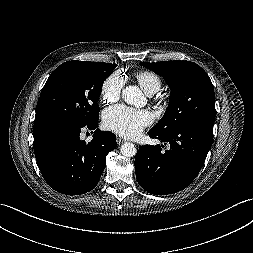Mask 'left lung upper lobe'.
Returning a JSON list of instances; mask_svg holds the SVG:
<instances>
[{"mask_svg": "<svg viewBox=\"0 0 253 253\" xmlns=\"http://www.w3.org/2000/svg\"><path fill=\"white\" fill-rule=\"evenodd\" d=\"M140 64L163 76L171 89L165 115L151 130L167 135L181 125L198 121L214 123V89L209 76L200 66L179 60Z\"/></svg>", "mask_w": 253, "mask_h": 253, "instance_id": "1", "label": "left lung upper lobe"}]
</instances>
